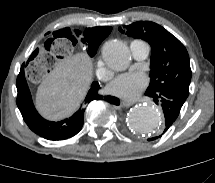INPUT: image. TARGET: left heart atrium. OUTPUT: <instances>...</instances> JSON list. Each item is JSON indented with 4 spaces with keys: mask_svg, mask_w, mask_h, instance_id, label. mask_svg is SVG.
I'll list each match as a JSON object with an SVG mask.
<instances>
[{
    "mask_svg": "<svg viewBox=\"0 0 215 183\" xmlns=\"http://www.w3.org/2000/svg\"><path fill=\"white\" fill-rule=\"evenodd\" d=\"M147 83V77L141 72L126 73L114 79L108 90L117 97L135 100L147 86Z\"/></svg>",
    "mask_w": 215,
    "mask_h": 183,
    "instance_id": "obj_1",
    "label": "left heart atrium"
}]
</instances>
